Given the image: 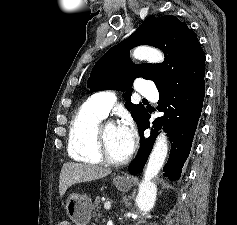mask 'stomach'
Returning <instances> with one entry per match:
<instances>
[{
  "label": "stomach",
  "instance_id": "1",
  "mask_svg": "<svg viewBox=\"0 0 237 225\" xmlns=\"http://www.w3.org/2000/svg\"><path fill=\"white\" fill-rule=\"evenodd\" d=\"M113 184L121 192H127L132 186V180L124 176H116ZM66 212L76 225H87L91 219L92 201L83 194H71L66 200Z\"/></svg>",
  "mask_w": 237,
  "mask_h": 225
}]
</instances>
